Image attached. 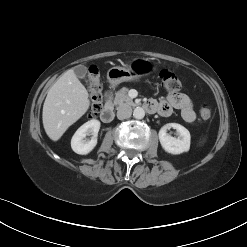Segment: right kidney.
Wrapping results in <instances>:
<instances>
[{"instance_id": "right-kidney-1", "label": "right kidney", "mask_w": 247, "mask_h": 247, "mask_svg": "<svg viewBox=\"0 0 247 247\" xmlns=\"http://www.w3.org/2000/svg\"><path fill=\"white\" fill-rule=\"evenodd\" d=\"M100 129V121L92 119L84 123L71 139L72 150L80 155L90 153L97 144V136ZM91 135V139L87 136Z\"/></svg>"}]
</instances>
